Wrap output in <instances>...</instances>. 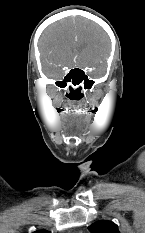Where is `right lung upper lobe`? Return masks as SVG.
<instances>
[{"instance_id":"1","label":"right lung upper lobe","mask_w":145,"mask_h":233,"mask_svg":"<svg viewBox=\"0 0 145 233\" xmlns=\"http://www.w3.org/2000/svg\"><path fill=\"white\" fill-rule=\"evenodd\" d=\"M34 233H50L49 231H46V230H40V231H36Z\"/></svg>"}]
</instances>
